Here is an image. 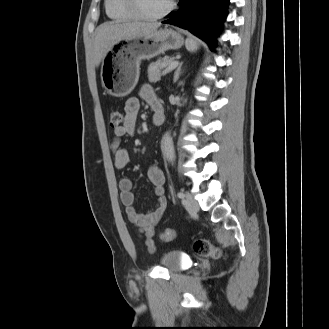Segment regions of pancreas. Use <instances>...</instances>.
I'll list each match as a JSON object with an SVG mask.
<instances>
[{
  "label": "pancreas",
  "instance_id": "cf45deb5",
  "mask_svg": "<svg viewBox=\"0 0 329 329\" xmlns=\"http://www.w3.org/2000/svg\"><path fill=\"white\" fill-rule=\"evenodd\" d=\"M174 61L173 57H164L162 60L153 62L148 67V79L151 83H155L160 80L163 75L162 69L168 67Z\"/></svg>",
  "mask_w": 329,
  "mask_h": 329
}]
</instances>
